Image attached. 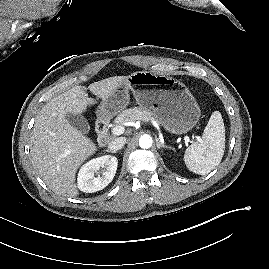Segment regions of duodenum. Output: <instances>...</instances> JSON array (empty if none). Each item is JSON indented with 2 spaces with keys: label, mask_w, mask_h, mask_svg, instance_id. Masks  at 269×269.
<instances>
[{
  "label": "duodenum",
  "mask_w": 269,
  "mask_h": 269,
  "mask_svg": "<svg viewBox=\"0 0 269 269\" xmlns=\"http://www.w3.org/2000/svg\"><path fill=\"white\" fill-rule=\"evenodd\" d=\"M97 140L100 146H105L109 141L108 124L105 119H99L96 124Z\"/></svg>",
  "instance_id": "1"
}]
</instances>
